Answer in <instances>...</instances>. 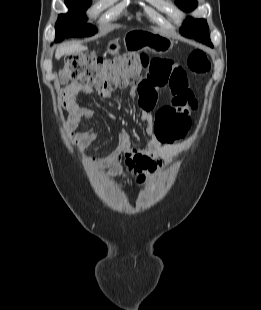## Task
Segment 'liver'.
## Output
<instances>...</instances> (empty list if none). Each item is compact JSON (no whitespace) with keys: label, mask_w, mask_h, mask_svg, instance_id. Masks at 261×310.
Segmentation results:
<instances>
[{"label":"liver","mask_w":261,"mask_h":310,"mask_svg":"<svg viewBox=\"0 0 261 310\" xmlns=\"http://www.w3.org/2000/svg\"><path fill=\"white\" fill-rule=\"evenodd\" d=\"M86 46L81 45L80 43H72L66 46L59 47L56 50L55 58L60 59L63 55H70L73 53H79L87 50Z\"/></svg>","instance_id":"obj_1"}]
</instances>
